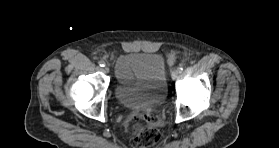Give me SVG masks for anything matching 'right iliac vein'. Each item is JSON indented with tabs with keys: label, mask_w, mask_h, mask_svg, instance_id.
I'll list each match as a JSON object with an SVG mask.
<instances>
[{
	"label": "right iliac vein",
	"mask_w": 279,
	"mask_h": 148,
	"mask_svg": "<svg viewBox=\"0 0 279 148\" xmlns=\"http://www.w3.org/2000/svg\"><path fill=\"white\" fill-rule=\"evenodd\" d=\"M103 71H104L105 73H109L110 69H109L108 66H105V67L103 68Z\"/></svg>",
	"instance_id": "1"
}]
</instances>
